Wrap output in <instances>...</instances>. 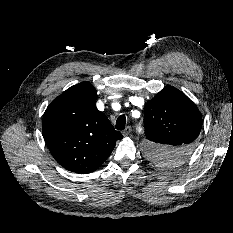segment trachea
<instances>
[{"label":"trachea","mask_w":233,"mask_h":233,"mask_svg":"<svg viewBox=\"0 0 233 233\" xmlns=\"http://www.w3.org/2000/svg\"><path fill=\"white\" fill-rule=\"evenodd\" d=\"M126 126V117L125 115H120L116 121V129L117 130H124Z\"/></svg>","instance_id":"obj_1"}]
</instances>
